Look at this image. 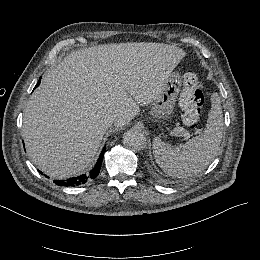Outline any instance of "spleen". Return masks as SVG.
Returning <instances> with one entry per match:
<instances>
[{
  "label": "spleen",
  "mask_w": 260,
  "mask_h": 260,
  "mask_svg": "<svg viewBox=\"0 0 260 260\" xmlns=\"http://www.w3.org/2000/svg\"><path fill=\"white\" fill-rule=\"evenodd\" d=\"M211 108L205 130L180 147L153 140V154L163 171L175 178L191 177L203 171L214 159L223 137V112L218 92L210 95Z\"/></svg>",
  "instance_id": "obj_1"
}]
</instances>
